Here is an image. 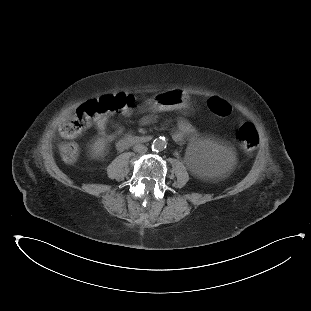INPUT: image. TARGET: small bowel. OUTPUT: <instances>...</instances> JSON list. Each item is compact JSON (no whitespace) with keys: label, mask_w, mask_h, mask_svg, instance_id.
Returning <instances> with one entry per match:
<instances>
[{"label":"small bowel","mask_w":311,"mask_h":311,"mask_svg":"<svg viewBox=\"0 0 311 311\" xmlns=\"http://www.w3.org/2000/svg\"><path fill=\"white\" fill-rule=\"evenodd\" d=\"M110 114H100L94 118L95 126L99 137L105 142L113 141L119 134V131L108 132ZM155 117L153 115H145L140 122L143 125L151 124ZM173 139L178 143L192 142L199 139L198 130L187 120L179 119L178 128L173 133Z\"/></svg>","instance_id":"c3829d8e"}]
</instances>
